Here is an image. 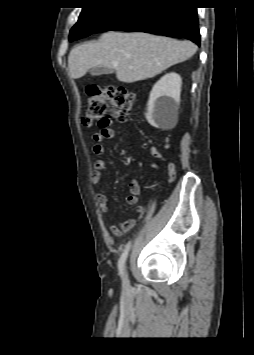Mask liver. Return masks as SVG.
I'll return each mask as SVG.
<instances>
[{"mask_svg": "<svg viewBox=\"0 0 254 355\" xmlns=\"http://www.w3.org/2000/svg\"><path fill=\"white\" fill-rule=\"evenodd\" d=\"M197 46L191 41L147 33H104L96 42L73 48L68 56L72 78L79 79L96 66L116 71L119 81L133 83L152 78L167 68L192 57Z\"/></svg>", "mask_w": 254, "mask_h": 355, "instance_id": "6515ba94", "label": "liver"}]
</instances>
